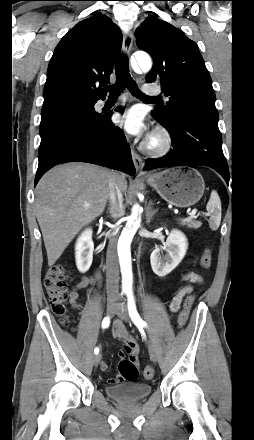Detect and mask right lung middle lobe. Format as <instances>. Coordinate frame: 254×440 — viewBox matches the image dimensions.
<instances>
[{"label":"right lung middle lobe","instance_id":"1","mask_svg":"<svg viewBox=\"0 0 254 440\" xmlns=\"http://www.w3.org/2000/svg\"><path fill=\"white\" fill-rule=\"evenodd\" d=\"M97 100L79 95H58L43 103L41 111V142L59 129L96 117L93 105Z\"/></svg>","mask_w":254,"mask_h":440}]
</instances>
